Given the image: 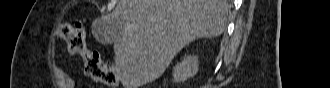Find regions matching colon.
Masks as SVG:
<instances>
[{
  "label": "colon",
  "instance_id": "colon-1",
  "mask_svg": "<svg viewBox=\"0 0 330 88\" xmlns=\"http://www.w3.org/2000/svg\"><path fill=\"white\" fill-rule=\"evenodd\" d=\"M56 35L60 41L67 43L71 52L83 55L85 72L94 81L110 88H116L118 86V76L115 66L104 64L97 52L86 48L81 24L72 26L69 23H62L58 27Z\"/></svg>",
  "mask_w": 330,
  "mask_h": 88
}]
</instances>
